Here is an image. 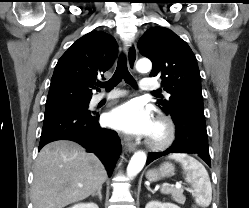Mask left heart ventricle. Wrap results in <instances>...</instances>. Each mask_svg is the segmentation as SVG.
Instances as JSON below:
<instances>
[{"mask_svg": "<svg viewBox=\"0 0 249 208\" xmlns=\"http://www.w3.org/2000/svg\"><path fill=\"white\" fill-rule=\"evenodd\" d=\"M155 133H157V130H156V129H154V132H153V134H155Z\"/></svg>", "mask_w": 249, "mask_h": 208, "instance_id": "b2bd125f", "label": "left heart ventricle"}]
</instances>
